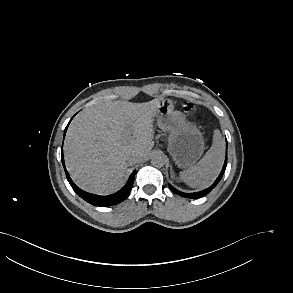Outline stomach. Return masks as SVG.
I'll use <instances>...</instances> for the list:
<instances>
[{"mask_svg":"<svg viewBox=\"0 0 293 293\" xmlns=\"http://www.w3.org/2000/svg\"><path fill=\"white\" fill-rule=\"evenodd\" d=\"M155 117L159 128L169 132L168 150L175 164L182 168L193 165L205 148L201 131L181 111L174 110L169 99L161 100Z\"/></svg>","mask_w":293,"mask_h":293,"instance_id":"1","label":"stomach"}]
</instances>
